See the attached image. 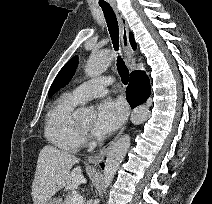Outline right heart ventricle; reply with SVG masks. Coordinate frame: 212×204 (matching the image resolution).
Here are the masks:
<instances>
[{
    "mask_svg": "<svg viewBox=\"0 0 212 204\" xmlns=\"http://www.w3.org/2000/svg\"><path fill=\"white\" fill-rule=\"evenodd\" d=\"M71 93L60 96L47 113L44 134L46 139L61 150L74 152L82 144V131L74 112L80 104Z\"/></svg>",
    "mask_w": 212,
    "mask_h": 204,
    "instance_id": "obj_1",
    "label": "right heart ventricle"
}]
</instances>
